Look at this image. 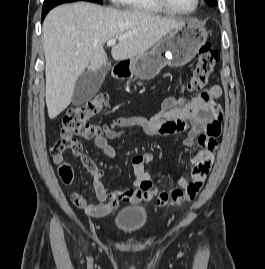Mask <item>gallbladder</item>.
I'll use <instances>...</instances> for the list:
<instances>
[{
  "label": "gallbladder",
  "mask_w": 265,
  "mask_h": 269,
  "mask_svg": "<svg viewBox=\"0 0 265 269\" xmlns=\"http://www.w3.org/2000/svg\"><path fill=\"white\" fill-rule=\"evenodd\" d=\"M107 70L108 65H103L101 70L96 73L91 71L84 72L75 84L72 104L79 106L91 100L101 87Z\"/></svg>",
  "instance_id": "gallbladder-1"
}]
</instances>
